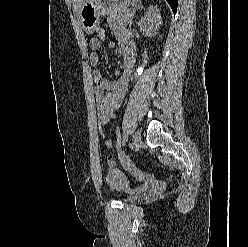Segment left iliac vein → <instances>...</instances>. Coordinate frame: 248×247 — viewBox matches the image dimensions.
<instances>
[{"instance_id":"left-iliac-vein-1","label":"left iliac vein","mask_w":248,"mask_h":247,"mask_svg":"<svg viewBox=\"0 0 248 247\" xmlns=\"http://www.w3.org/2000/svg\"><path fill=\"white\" fill-rule=\"evenodd\" d=\"M132 142H133V146L134 148H138L140 146L141 143V133L139 130L135 131L132 137Z\"/></svg>"}]
</instances>
